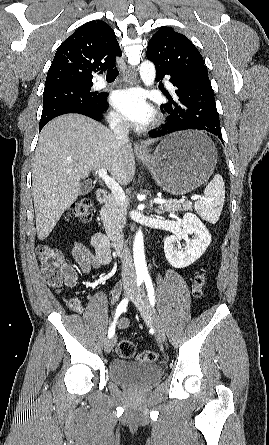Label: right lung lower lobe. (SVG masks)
Listing matches in <instances>:
<instances>
[{
  "label": "right lung lower lobe",
  "instance_id": "98d812e1",
  "mask_svg": "<svg viewBox=\"0 0 269 445\" xmlns=\"http://www.w3.org/2000/svg\"><path fill=\"white\" fill-rule=\"evenodd\" d=\"M106 108H107V95H103V99L101 100L97 108L93 109L92 111H80L75 113L83 114L97 121H100L102 119V113L105 111ZM41 129L42 128H39V130Z\"/></svg>",
  "mask_w": 269,
  "mask_h": 445
}]
</instances>
